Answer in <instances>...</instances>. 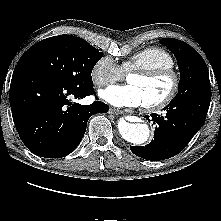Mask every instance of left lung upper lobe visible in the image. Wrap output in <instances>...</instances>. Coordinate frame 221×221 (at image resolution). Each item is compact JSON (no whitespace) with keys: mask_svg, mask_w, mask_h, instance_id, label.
Masks as SVG:
<instances>
[{"mask_svg":"<svg viewBox=\"0 0 221 221\" xmlns=\"http://www.w3.org/2000/svg\"><path fill=\"white\" fill-rule=\"evenodd\" d=\"M160 42L175 55L180 70L179 90L171 102L186 101L197 94L211 91L206 63L195 49L174 38H164Z\"/></svg>","mask_w":221,"mask_h":221,"instance_id":"5c2ea615","label":"left lung upper lobe"}]
</instances>
